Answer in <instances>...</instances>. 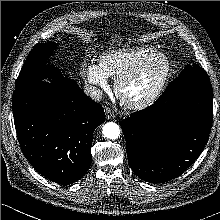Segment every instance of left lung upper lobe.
I'll return each instance as SVG.
<instances>
[{"label": "left lung upper lobe", "mask_w": 220, "mask_h": 220, "mask_svg": "<svg viewBox=\"0 0 220 220\" xmlns=\"http://www.w3.org/2000/svg\"><path fill=\"white\" fill-rule=\"evenodd\" d=\"M195 81H210V79L202 67L196 64L193 67L187 65L180 75L167 86L166 91L179 89L185 84Z\"/></svg>", "instance_id": "1"}]
</instances>
